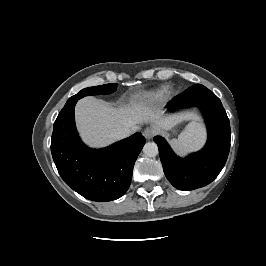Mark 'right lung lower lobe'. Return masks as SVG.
<instances>
[{"label":"right lung lower lobe","instance_id":"1","mask_svg":"<svg viewBox=\"0 0 266 266\" xmlns=\"http://www.w3.org/2000/svg\"><path fill=\"white\" fill-rule=\"evenodd\" d=\"M76 102L65 105L54 122L51 153L57 170L65 183L86 199H118L130 186L145 138L135 133L104 149L88 148L76 131Z\"/></svg>","mask_w":266,"mask_h":266}]
</instances>
